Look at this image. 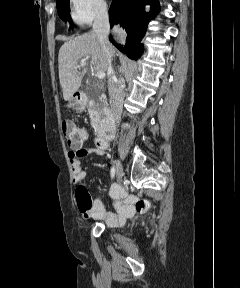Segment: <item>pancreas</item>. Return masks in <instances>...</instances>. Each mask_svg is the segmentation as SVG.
I'll return each mask as SVG.
<instances>
[{
    "instance_id": "pancreas-1",
    "label": "pancreas",
    "mask_w": 240,
    "mask_h": 288,
    "mask_svg": "<svg viewBox=\"0 0 240 288\" xmlns=\"http://www.w3.org/2000/svg\"><path fill=\"white\" fill-rule=\"evenodd\" d=\"M97 86H98L99 89H100V87H101V89L103 88V85H102L101 83H97ZM99 105H100V106H103V105H105V104H104V102L101 101V102L99 103ZM89 113H90V117H91L92 119H95V118L98 117V112L96 111L95 108H94V109H91Z\"/></svg>"
}]
</instances>
